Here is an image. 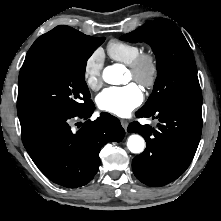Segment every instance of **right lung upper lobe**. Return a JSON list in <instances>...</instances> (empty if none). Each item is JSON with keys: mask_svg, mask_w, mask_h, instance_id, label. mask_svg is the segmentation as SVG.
I'll return each instance as SVG.
<instances>
[{"mask_svg": "<svg viewBox=\"0 0 221 221\" xmlns=\"http://www.w3.org/2000/svg\"><path fill=\"white\" fill-rule=\"evenodd\" d=\"M91 36L69 27L60 25L40 36L29 49L20 71L25 70L42 55L64 47L87 41Z\"/></svg>", "mask_w": 221, "mask_h": 221, "instance_id": "1", "label": "right lung upper lobe"}]
</instances>
